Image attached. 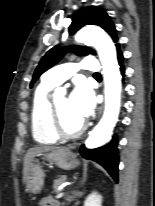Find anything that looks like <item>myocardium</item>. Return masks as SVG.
Returning a JSON list of instances; mask_svg holds the SVG:
<instances>
[{"mask_svg":"<svg viewBox=\"0 0 155 206\" xmlns=\"http://www.w3.org/2000/svg\"><path fill=\"white\" fill-rule=\"evenodd\" d=\"M50 118H51V124H52L53 130L60 137L74 138V137L81 135L86 129L85 122H82L81 125L77 127L76 129L67 130L62 124L55 101L51 102L50 104Z\"/></svg>","mask_w":155,"mask_h":206,"instance_id":"myocardium-1","label":"myocardium"}]
</instances>
